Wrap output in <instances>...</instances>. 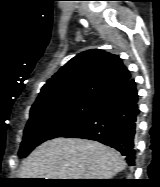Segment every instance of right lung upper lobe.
Masks as SVG:
<instances>
[{"label": "right lung upper lobe", "instance_id": "1", "mask_svg": "<svg viewBox=\"0 0 160 187\" xmlns=\"http://www.w3.org/2000/svg\"><path fill=\"white\" fill-rule=\"evenodd\" d=\"M130 78L117 55L98 49L84 51L46 82L32 108L82 99L98 101Z\"/></svg>", "mask_w": 160, "mask_h": 187}]
</instances>
